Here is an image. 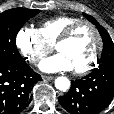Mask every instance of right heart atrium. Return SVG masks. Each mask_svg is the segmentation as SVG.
Here are the masks:
<instances>
[{"mask_svg": "<svg viewBox=\"0 0 114 114\" xmlns=\"http://www.w3.org/2000/svg\"><path fill=\"white\" fill-rule=\"evenodd\" d=\"M15 45L30 64H38L52 49L39 33L38 29L24 26L20 28L15 37Z\"/></svg>", "mask_w": 114, "mask_h": 114, "instance_id": "1", "label": "right heart atrium"}]
</instances>
